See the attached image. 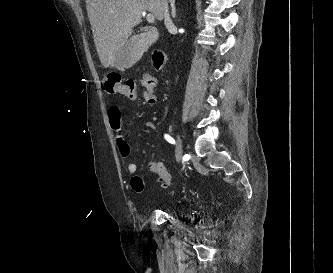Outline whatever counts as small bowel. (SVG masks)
<instances>
[{"label": "small bowel", "mask_w": 333, "mask_h": 273, "mask_svg": "<svg viewBox=\"0 0 333 273\" xmlns=\"http://www.w3.org/2000/svg\"><path fill=\"white\" fill-rule=\"evenodd\" d=\"M142 91L143 93V103L147 106H153L156 103V98L153 91H157L156 80L152 75L151 70H142ZM130 102H139L140 97L138 94L130 95ZM109 123L112 130L117 133L116 144L119 154L122 158L127 159L131 155V148L127 140L120 134L122 129L121 123V106L119 104L113 105L108 113ZM149 126V123L145 124ZM127 171L132 175L131 178V188L133 191L140 193L144 191V183L140 176L136 175L137 166L135 163H128Z\"/></svg>", "instance_id": "small-bowel-1"}]
</instances>
